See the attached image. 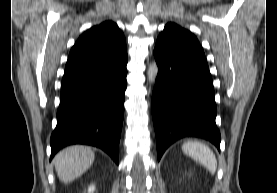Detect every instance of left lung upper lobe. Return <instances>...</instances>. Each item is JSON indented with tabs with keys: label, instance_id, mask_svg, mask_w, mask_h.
Returning a JSON list of instances; mask_svg holds the SVG:
<instances>
[{
	"label": "left lung upper lobe",
	"instance_id": "left-lung-upper-lobe-1",
	"mask_svg": "<svg viewBox=\"0 0 277 193\" xmlns=\"http://www.w3.org/2000/svg\"><path fill=\"white\" fill-rule=\"evenodd\" d=\"M159 39L167 41L179 50L205 56L197 38L175 23L166 24L164 31L159 35Z\"/></svg>",
	"mask_w": 277,
	"mask_h": 193
}]
</instances>
